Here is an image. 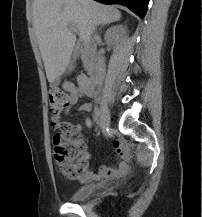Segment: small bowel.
<instances>
[{"instance_id":"c3829d8e","label":"small bowel","mask_w":202,"mask_h":217,"mask_svg":"<svg viewBox=\"0 0 202 217\" xmlns=\"http://www.w3.org/2000/svg\"><path fill=\"white\" fill-rule=\"evenodd\" d=\"M78 85H75L72 82H64L63 88L71 95L72 103H74L79 96L86 95L90 96L91 94L87 93L81 86L80 76L78 77ZM81 111H90L92 105L90 103H84L79 108ZM85 125L90 128L92 126V120L86 118ZM71 128L75 131H80L82 126L80 124H71ZM113 147L116 151V155L120 159L118 166L116 167H106L101 166L98 170V173L90 171L88 169V159L90 157L88 152H84L83 161H84V171L82 178L85 179H98V178H119L128 174L131 168L126 164V161L131 159V151L127 146H124L122 141L114 140Z\"/></svg>"}]
</instances>
